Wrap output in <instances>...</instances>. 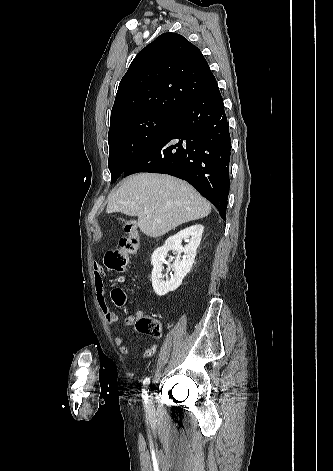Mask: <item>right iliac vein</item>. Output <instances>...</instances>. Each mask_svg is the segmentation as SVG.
<instances>
[{"mask_svg": "<svg viewBox=\"0 0 333 471\" xmlns=\"http://www.w3.org/2000/svg\"><path fill=\"white\" fill-rule=\"evenodd\" d=\"M149 395V394H148ZM148 404L150 405V400H148Z\"/></svg>", "mask_w": 333, "mask_h": 471, "instance_id": "obj_1", "label": "right iliac vein"}]
</instances>
